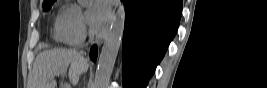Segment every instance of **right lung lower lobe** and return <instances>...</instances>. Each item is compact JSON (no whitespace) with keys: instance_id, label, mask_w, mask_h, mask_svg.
Wrapping results in <instances>:
<instances>
[{"instance_id":"right-lung-lower-lobe-1","label":"right lung lower lobe","mask_w":267,"mask_h":88,"mask_svg":"<svg viewBox=\"0 0 267 88\" xmlns=\"http://www.w3.org/2000/svg\"><path fill=\"white\" fill-rule=\"evenodd\" d=\"M97 54H98V52H97V46L94 45V46L91 48V51H90V58H91V60L96 61Z\"/></svg>"}]
</instances>
